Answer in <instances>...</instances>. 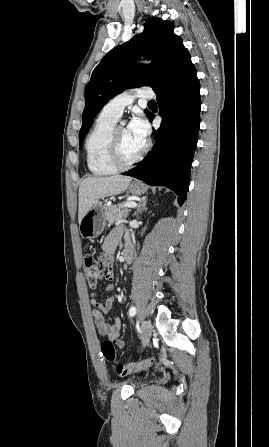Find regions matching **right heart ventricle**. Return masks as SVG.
Returning <instances> with one entry per match:
<instances>
[{
    "label": "right heart ventricle",
    "instance_id": "right-heart-ventricle-1",
    "mask_svg": "<svg viewBox=\"0 0 269 447\" xmlns=\"http://www.w3.org/2000/svg\"><path fill=\"white\" fill-rule=\"evenodd\" d=\"M116 120L102 111L87 137V165L95 175H107L118 169L109 158V137Z\"/></svg>",
    "mask_w": 269,
    "mask_h": 447
}]
</instances>
